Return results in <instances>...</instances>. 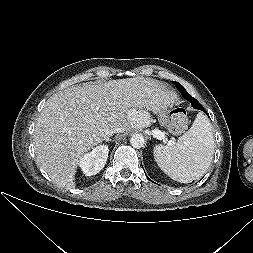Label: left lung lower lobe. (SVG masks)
I'll list each match as a JSON object with an SVG mask.
<instances>
[{
	"instance_id": "left-lung-lower-lobe-1",
	"label": "left lung lower lobe",
	"mask_w": 253,
	"mask_h": 253,
	"mask_svg": "<svg viewBox=\"0 0 253 253\" xmlns=\"http://www.w3.org/2000/svg\"><path fill=\"white\" fill-rule=\"evenodd\" d=\"M190 102L195 109H199L206 112L205 109L200 105V103L195 98H193Z\"/></svg>"
}]
</instances>
